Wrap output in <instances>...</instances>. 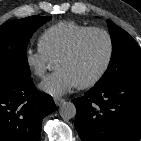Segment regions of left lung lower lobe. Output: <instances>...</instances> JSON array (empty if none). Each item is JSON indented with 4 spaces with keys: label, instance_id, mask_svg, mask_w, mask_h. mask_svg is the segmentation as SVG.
I'll return each mask as SVG.
<instances>
[{
    "label": "left lung lower lobe",
    "instance_id": "obj_1",
    "mask_svg": "<svg viewBox=\"0 0 141 141\" xmlns=\"http://www.w3.org/2000/svg\"><path fill=\"white\" fill-rule=\"evenodd\" d=\"M73 103L82 141L140 140L141 76L94 86Z\"/></svg>",
    "mask_w": 141,
    "mask_h": 141
}]
</instances>
